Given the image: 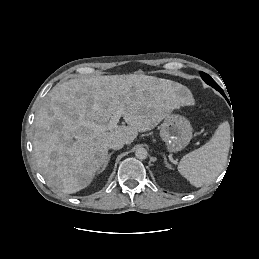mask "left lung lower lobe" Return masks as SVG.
Returning a JSON list of instances; mask_svg holds the SVG:
<instances>
[{
	"instance_id": "left-lung-lower-lobe-1",
	"label": "left lung lower lobe",
	"mask_w": 259,
	"mask_h": 259,
	"mask_svg": "<svg viewBox=\"0 0 259 259\" xmlns=\"http://www.w3.org/2000/svg\"><path fill=\"white\" fill-rule=\"evenodd\" d=\"M220 93H221L224 97H226L225 94H224V92H223V90H220Z\"/></svg>"
}]
</instances>
